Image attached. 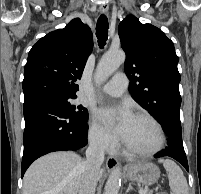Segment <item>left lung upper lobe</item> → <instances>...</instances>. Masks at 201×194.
Wrapping results in <instances>:
<instances>
[{"instance_id": "obj_1", "label": "left lung upper lobe", "mask_w": 201, "mask_h": 194, "mask_svg": "<svg viewBox=\"0 0 201 194\" xmlns=\"http://www.w3.org/2000/svg\"><path fill=\"white\" fill-rule=\"evenodd\" d=\"M118 32L134 100L158 121L166 113L180 115V74L173 42L159 28L141 24L133 15L119 24Z\"/></svg>"}]
</instances>
